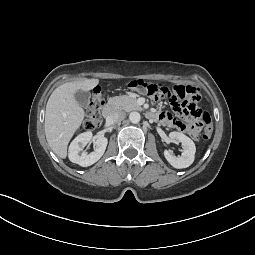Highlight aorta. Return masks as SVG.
<instances>
[{
  "label": "aorta",
  "mask_w": 255,
  "mask_h": 255,
  "mask_svg": "<svg viewBox=\"0 0 255 255\" xmlns=\"http://www.w3.org/2000/svg\"><path fill=\"white\" fill-rule=\"evenodd\" d=\"M140 119H141V116L138 112H131L129 115V120L134 124L139 123Z\"/></svg>",
  "instance_id": "aorta-1"
}]
</instances>
